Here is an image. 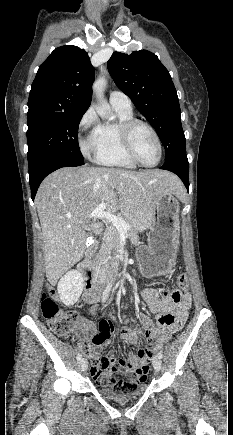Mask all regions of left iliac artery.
<instances>
[{"label":"left iliac artery","instance_id":"44dca946","mask_svg":"<svg viewBox=\"0 0 233 435\" xmlns=\"http://www.w3.org/2000/svg\"><path fill=\"white\" fill-rule=\"evenodd\" d=\"M157 356H158L159 358H162V357H163V355H162L161 352H158V353H157Z\"/></svg>","mask_w":233,"mask_h":435}]
</instances>
